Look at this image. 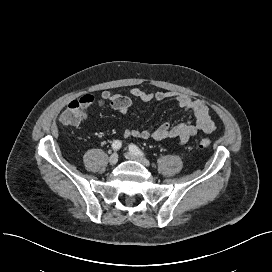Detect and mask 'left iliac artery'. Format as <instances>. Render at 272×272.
I'll list each match as a JSON object with an SVG mask.
<instances>
[{"instance_id":"1","label":"left iliac artery","mask_w":272,"mask_h":272,"mask_svg":"<svg viewBox=\"0 0 272 272\" xmlns=\"http://www.w3.org/2000/svg\"><path fill=\"white\" fill-rule=\"evenodd\" d=\"M129 150L133 153V154H135V155H138V156H145V153L142 151V150H140L136 145H134V144H130L129 145Z\"/></svg>"}]
</instances>
